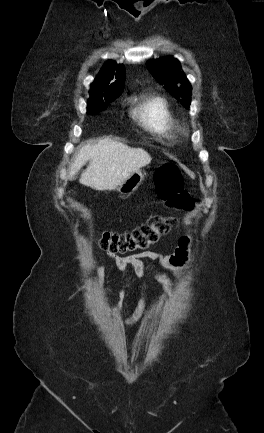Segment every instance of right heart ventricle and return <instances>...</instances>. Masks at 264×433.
<instances>
[{"mask_svg": "<svg viewBox=\"0 0 264 433\" xmlns=\"http://www.w3.org/2000/svg\"><path fill=\"white\" fill-rule=\"evenodd\" d=\"M132 116L146 131L165 140H174L178 133V119L168 101L144 94L133 98Z\"/></svg>", "mask_w": 264, "mask_h": 433, "instance_id": "e07e8e85", "label": "right heart ventricle"}]
</instances>
